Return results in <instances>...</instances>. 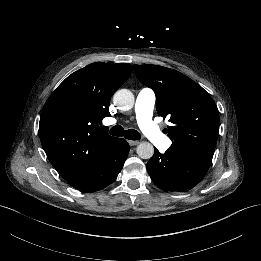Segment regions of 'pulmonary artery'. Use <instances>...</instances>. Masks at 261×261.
I'll list each match as a JSON object with an SVG mask.
<instances>
[{
    "label": "pulmonary artery",
    "mask_w": 261,
    "mask_h": 261,
    "mask_svg": "<svg viewBox=\"0 0 261 261\" xmlns=\"http://www.w3.org/2000/svg\"><path fill=\"white\" fill-rule=\"evenodd\" d=\"M156 104L155 93L149 88H142L136 97V120L141 131L150 139L154 146L167 150L171 146V139L160 133V128L152 122L153 111ZM115 123V120H112Z\"/></svg>",
    "instance_id": "1"
}]
</instances>
